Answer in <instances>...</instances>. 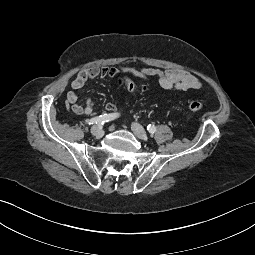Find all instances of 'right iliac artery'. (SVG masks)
<instances>
[{
  "label": "right iliac artery",
  "instance_id": "1",
  "mask_svg": "<svg viewBox=\"0 0 255 255\" xmlns=\"http://www.w3.org/2000/svg\"><path fill=\"white\" fill-rule=\"evenodd\" d=\"M119 117V113H113V114H104L100 115L98 117L92 118L88 121L89 125L93 124H104L105 122L111 121Z\"/></svg>",
  "mask_w": 255,
  "mask_h": 255
}]
</instances>
